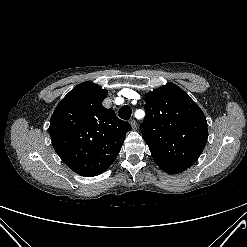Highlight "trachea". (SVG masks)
I'll return each instance as SVG.
<instances>
[{
  "mask_svg": "<svg viewBox=\"0 0 247 247\" xmlns=\"http://www.w3.org/2000/svg\"><path fill=\"white\" fill-rule=\"evenodd\" d=\"M132 110L128 105H124L119 109L118 115L121 119L128 120L131 117Z\"/></svg>",
  "mask_w": 247,
  "mask_h": 247,
  "instance_id": "1",
  "label": "trachea"
}]
</instances>
